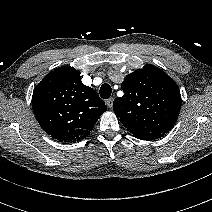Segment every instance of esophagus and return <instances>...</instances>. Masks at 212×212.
Instances as JSON below:
<instances>
[{"label":"esophagus","mask_w":212,"mask_h":212,"mask_svg":"<svg viewBox=\"0 0 212 212\" xmlns=\"http://www.w3.org/2000/svg\"><path fill=\"white\" fill-rule=\"evenodd\" d=\"M113 101H114L113 98H110L106 101V105H107L108 108L111 109L113 107Z\"/></svg>","instance_id":"1"}]
</instances>
